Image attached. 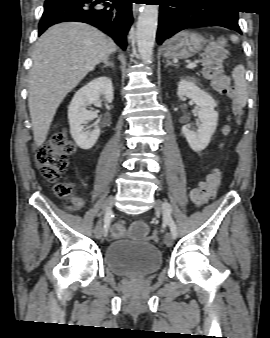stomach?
Returning a JSON list of instances; mask_svg holds the SVG:
<instances>
[{
  "instance_id": "1",
  "label": "stomach",
  "mask_w": 270,
  "mask_h": 338,
  "mask_svg": "<svg viewBox=\"0 0 270 338\" xmlns=\"http://www.w3.org/2000/svg\"><path fill=\"white\" fill-rule=\"evenodd\" d=\"M206 45L204 37L192 31H181L167 40L162 47L167 59H187L199 53Z\"/></svg>"
}]
</instances>
